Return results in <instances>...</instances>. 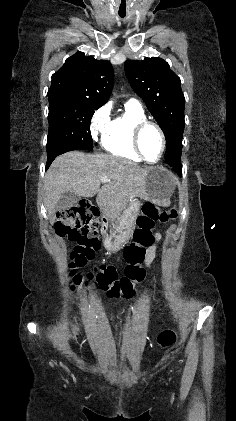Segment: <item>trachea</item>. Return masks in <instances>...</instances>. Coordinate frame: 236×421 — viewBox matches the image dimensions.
Returning <instances> with one entry per match:
<instances>
[{"instance_id":"obj_1","label":"trachea","mask_w":236,"mask_h":421,"mask_svg":"<svg viewBox=\"0 0 236 421\" xmlns=\"http://www.w3.org/2000/svg\"><path fill=\"white\" fill-rule=\"evenodd\" d=\"M122 18L125 16V15H120Z\"/></svg>"}]
</instances>
